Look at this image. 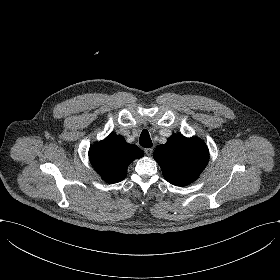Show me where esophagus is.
<instances>
[{
  "label": "esophagus",
  "mask_w": 280,
  "mask_h": 280,
  "mask_svg": "<svg viewBox=\"0 0 280 280\" xmlns=\"http://www.w3.org/2000/svg\"><path fill=\"white\" fill-rule=\"evenodd\" d=\"M144 152L148 157H150L152 155L153 149L152 148H145Z\"/></svg>",
  "instance_id": "esophagus-1"
}]
</instances>
